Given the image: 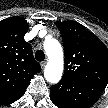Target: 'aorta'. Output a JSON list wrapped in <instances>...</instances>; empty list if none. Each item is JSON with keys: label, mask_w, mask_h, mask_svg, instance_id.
<instances>
[{"label": "aorta", "mask_w": 108, "mask_h": 108, "mask_svg": "<svg viewBox=\"0 0 108 108\" xmlns=\"http://www.w3.org/2000/svg\"><path fill=\"white\" fill-rule=\"evenodd\" d=\"M43 46L48 57V62L44 70V77L49 83H58L62 78L64 69L62 47L59 41L54 38L46 39Z\"/></svg>", "instance_id": "aorta-1"}]
</instances>
